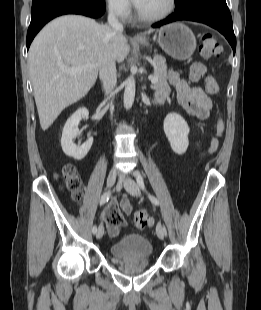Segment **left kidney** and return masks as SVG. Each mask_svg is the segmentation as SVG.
I'll use <instances>...</instances> for the list:
<instances>
[{
    "mask_svg": "<svg viewBox=\"0 0 261 310\" xmlns=\"http://www.w3.org/2000/svg\"><path fill=\"white\" fill-rule=\"evenodd\" d=\"M164 132L172 150L182 155L186 152L189 140V127L186 121L177 113H170L164 120Z\"/></svg>",
    "mask_w": 261,
    "mask_h": 310,
    "instance_id": "1",
    "label": "left kidney"
}]
</instances>
